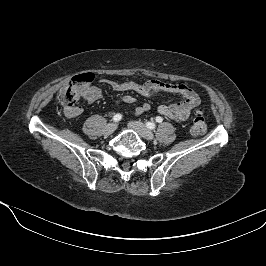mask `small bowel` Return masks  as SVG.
Returning <instances> with one entry per match:
<instances>
[{"instance_id": "small-bowel-1", "label": "small bowel", "mask_w": 266, "mask_h": 266, "mask_svg": "<svg viewBox=\"0 0 266 266\" xmlns=\"http://www.w3.org/2000/svg\"><path fill=\"white\" fill-rule=\"evenodd\" d=\"M100 83L110 87L117 92H136L142 96L150 97L159 92L178 95L181 100L173 104H162L158 107V112L175 122H183L189 118L192 111L200 104V98L196 92L184 84L165 83L159 80H149L139 84L134 81L116 82L113 80L102 79ZM102 90L95 85H87L82 89L81 95L87 103H94L102 97ZM120 102L131 104L135 98L131 95H125ZM150 109V104L144 102L136 107L135 114L141 115ZM82 113V108L76 106L72 111L67 112L69 117H77Z\"/></svg>"}]
</instances>
